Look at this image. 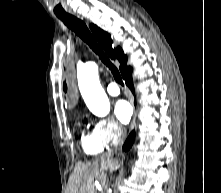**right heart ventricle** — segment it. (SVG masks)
<instances>
[{"label": "right heart ventricle", "instance_id": "obj_1", "mask_svg": "<svg viewBox=\"0 0 221 193\" xmlns=\"http://www.w3.org/2000/svg\"><path fill=\"white\" fill-rule=\"evenodd\" d=\"M81 144L83 150L88 155H98L107 147L102 144L93 133L88 132L82 134Z\"/></svg>", "mask_w": 221, "mask_h": 193}]
</instances>
